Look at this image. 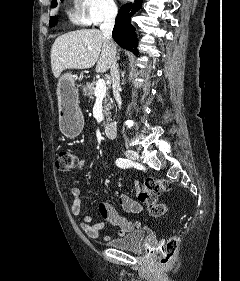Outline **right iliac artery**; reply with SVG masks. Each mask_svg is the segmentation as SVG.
<instances>
[{"instance_id": "1", "label": "right iliac artery", "mask_w": 240, "mask_h": 281, "mask_svg": "<svg viewBox=\"0 0 240 281\" xmlns=\"http://www.w3.org/2000/svg\"><path fill=\"white\" fill-rule=\"evenodd\" d=\"M116 165H117L118 167H120V168L125 169V168L131 167V166H132V162H131V160H129V159L118 158V159L116 160Z\"/></svg>"}]
</instances>
